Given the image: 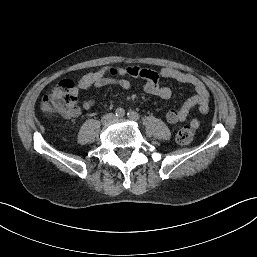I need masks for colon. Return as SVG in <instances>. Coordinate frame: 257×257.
Returning a JSON list of instances; mask_svg holds the SVG:
<instances>
[{
	"label": "colon",
	"mask_w": 257,
	"mask_h": 257,
	"mask_svg": "<svg viewBox=\"0 0 257 257\" xmlns=\"http://www.w3.org/2000/svg\"><path fill=\"white\" fill-rule=\"evenodd\" d=\"M42 110L47 113L68 114L77 108L76 84L72 80H63L58 83L42 99ZM192 126L182 127L176 134V140L182 145L189 144L194 139Z\"/></svg>",
	"instance_id": "colon-1"
}]
</instances>
